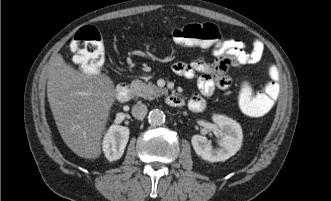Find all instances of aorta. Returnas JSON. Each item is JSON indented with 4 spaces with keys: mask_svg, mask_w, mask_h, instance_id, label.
Returning a JSON list of instances; mask_svg holds the SVG:
<instances>
[{
    "mask_svg": "<svg viewBox=\"0 0 331 201\" xmlns=\"http://www.w3.org/2000/svg\"><path fill=\"white\" fill-rule=\"evenodd\" d=\"M149 123L153 126H160L165 122V114L160 109H153L148 115Z\"/></svg>",
    "mask_w": 331,
    "mask_h": 201,
    "instance_id": "obj_1",
    "label": "aorta"
}]
</instances>
